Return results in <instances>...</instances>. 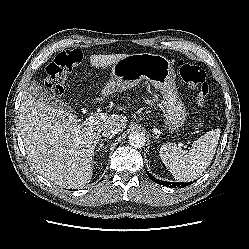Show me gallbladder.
Masks as SVG:
<instances>
[{
    "label": "gallbladder",
    "instance_id": "gallbladder-1",
    "mask_svg": "<svg viewBox=\"0 0 249 249\" xmlns=\"http://www.w3.org/2000/svg\"><path fill=\"white\" fill-rule=\"evenodd\" d=\"M25 89L32 96L52 107L59 108L68 112L71 111V107L69 105L56 98L47 88L35 81H31L30 83H28Z\"/></svg>",
    "mask_w": 249,
    "mask_h": 249
}]
</instances>
